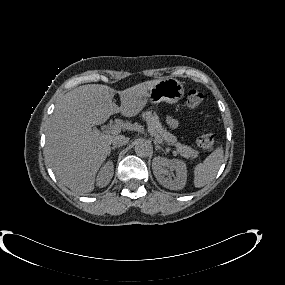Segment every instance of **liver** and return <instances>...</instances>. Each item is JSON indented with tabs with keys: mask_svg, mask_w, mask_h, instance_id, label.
Listing matches in <instances>:
<instances>
[{
	"mask_svg": "<svg viewBox=\"0 0 285 285\" xmlns=\"http://www.w3.org/2000/svg\"><path fill=\"white\" fill-rule=\"evenodd\" d=\"M158 82L146 81L123 91L107 85H82L59 100L48 122L44 154L61 184L77 193L94 189L96 174L116 135L91 127L103 124L119 112L126 117L136 116ZM116 93L120 96V107L113 102Z\"/></svg>",
	"mask_w": 285,
	"mask_h": 285,
	"instance_id": "1",
	"label": "liver"
}]
</instances>
